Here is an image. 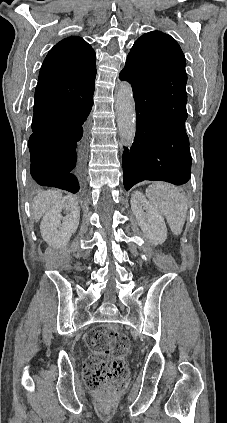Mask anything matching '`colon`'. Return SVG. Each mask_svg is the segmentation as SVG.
Listing matches in <instances>:
<instances>
[{"mask_svg":"<svg viewBox=\"0 0 227 423\" xmlns=\"http://www.w3.org/2000/svg\"><path fill=\"white\" fill-rule=\"evenodd\" d=\"M86 342L91 352L84 364L86 386L107 396L123 391L129 375L128 337L113 326L100 325L88 333Z\"/></svg>","mask_w":227,"mask_h":423,"instance_id":"colon-1","label":"colon"}]
</instances>
